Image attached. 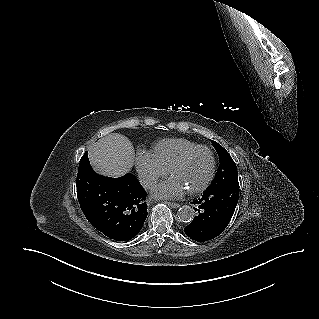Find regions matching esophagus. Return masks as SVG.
Listing matches in <instances>:
<instances>
[{
	"label": "esophagus",
	"mask_w": 319,
	"mask_h": 319,
	"mask_svg": "<svg viewBox=\"0 0 319 319\" xmlns=\"http://www.w3.org/2000/svg\"><path fill=\"white\" fill-rule=\"evenodd\" d=\"M166 204L172 208H178L180 205L175 202H166Z\"/></svg>",
	"instance_id": "obj_1"
}]
</instances>
